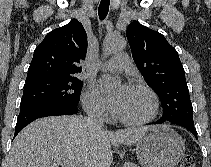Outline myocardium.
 Returning a JSON list of instances; mask_svg holds the SVG:
<instances>
[{"instance_id":"obj_1","label":"myocardium","mask_w":211,"mask_h":167,"mask_svg":"<svg viewBox=\"0 0 211 167\" xmlns=\"http://www.w3.org/2000/svg\"><path fill=\"white\" fill-rule=\"evenodd\" d=\"M131 88L135 90L144 91L150 96L151 101H152V112L148 117L144 119H139V120L127 119L120 116L118 113L116 114V118L121 123L126 124V125H144V124L150 123L156 118L159 112V100H158L157 94L154 92L153 89H151L149 86L143 83H137V82L133 83L131 85Z\"/></svg>"}]
</instances>
